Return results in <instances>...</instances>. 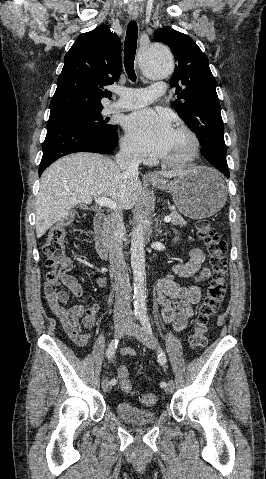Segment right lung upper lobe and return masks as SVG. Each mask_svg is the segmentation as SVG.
Wrapping results in <instances>:
<instances>
[{"mask_svg": "<svg viewBox=\"0 0 266 479\" xmlns=\"http://www.w3.org/2000/svg\"><path fill=\"white\" fill-rule=\"evenodd\" d=\"M121 70L120 39L109 27L100 25L81 34L65 55L51 113L103 107L101 99L111 97L105 86L117 81Z\"/></svg>", "mask_w": 266, "mask_h": 479, "instance_id": "right-lung-upper-lobe-1", "label": "right lung upper lobe"}]
</instances>
